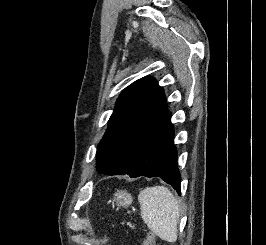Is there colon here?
Returning a JSON list of instances; mask_svg holds the SVG:
<instances>
[{"label":"colon","instance_id":"colon-1","mask_svg":"<svg viewBox=\"0 0 266 245\" xmlns=\"http://www.w3.org/2000/svg\"><path fill=\"white\" fill-rule=\"evenodd\" d=\"M142 245H155L154 237L148 233L143 239Z\"/></svg>","mask_w":266,"mask_h":245}]
</instances>
